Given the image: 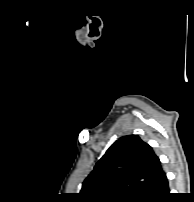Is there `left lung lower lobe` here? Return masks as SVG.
Segmentation results:
<instances>
[{"instance_id": "1", "label": "left lung lower lobe", "mask_w": 194, "mask_h": 202, "mask_svg": "<svg viewBox=\"0 0 194 202\" xmlns=\"http://www.w3.org/2000/svg\"><path fill=\"white\" fill-rule=\"evenodd\" d=\"M169 196L170 193H169L168 181L166 174H164L152 202H165Z\"/></svg>"}]
</instances>
